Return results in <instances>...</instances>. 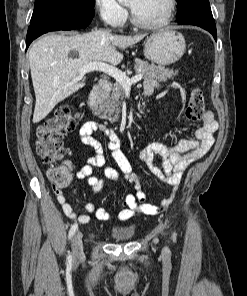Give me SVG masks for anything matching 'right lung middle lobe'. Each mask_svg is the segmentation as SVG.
<instances>
[{"label": "right lung middle lobe", "instance_id": "1", "mask_svg": "<svg viewBox=\"0 0 247 296\" xmlns=\"http://www.w3.org/2000/svg\"><path fill=\"white\" fill-rule=\"evenodd\" d=\"M94 6L95 0H35L31 20L41 17L57 8H62L70 16L94 13Z\"/></svg>", "mask_w": 247, "mask_h": 296}]
</instances>
